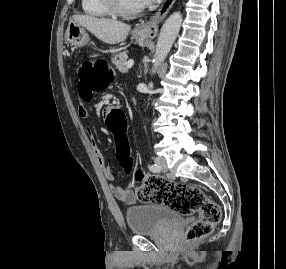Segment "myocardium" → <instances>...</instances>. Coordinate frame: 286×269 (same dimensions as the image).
Here are the masks:
<instances>
[{
    "label": "myocardium",
    "mask_w": 286,
    "mask_h": 269,
    "mask_svg": "<svg viewBox=\"0 0 286 269\" xmlns=\"http://www.w3.org/2000/svg\"><path fill=\"white\" fill-rule=\"evenodd\" d=\"M101 2L110 15L120 18H130L137 16L144 9V7L141 6L133 10H125L120 6L119 0H101Z\"/></svg>",
    "instance_id": "1"
}]
</instances>
